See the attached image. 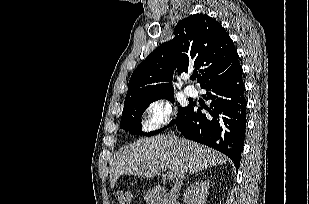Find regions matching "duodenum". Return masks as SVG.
<instances>
[{"mask_svg": "<svg viewBox=\"0 0 309 204\" xmlns=\"http://www.w3.org/2000/svg\"><path fill=\"white\" fill-rule=\"evenodd\" d=\"M151 204H168L169 196L167 190L160 184H155L150 195Z\"/></svg>", "mask_w": 309, "mask_h": 204, "instance_id": "obj_1", "label": "duodenum"}]
</instances>
